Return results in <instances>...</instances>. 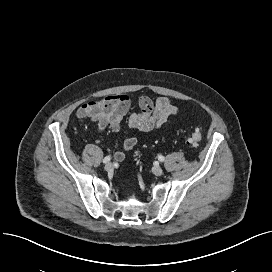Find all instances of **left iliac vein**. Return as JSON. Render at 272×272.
<instances>
[{"instance_id":"left-iliac-vein-1","label":"left iliac vein","mask_w":272,"mask_h":272,"mask_svg":"<svg viewBox=\"0 0 272 272\" xmlns=\"http://www.w3.org/2000/svg\"><path fill=\"white\" fill-rule=\"evenodd\" d=\"M153 173L156 175V176H161L163 174V170L160 166H154L153 167Z\"/></svg>"}]
</instances>
